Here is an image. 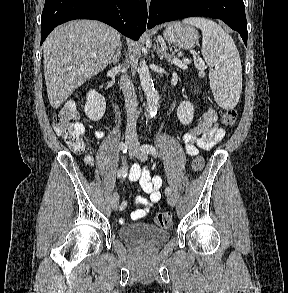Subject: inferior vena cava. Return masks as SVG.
Segmentation results:
<instances>
[{"label":"inferior vena cava","instance_id":"inferior-vena-cava-1","mask_svg":"<svg viewBox=\"0 0 288 293\" xmlns=\"http://www.w3.org/2000/svg\"><path fill=\"white\" fill-rule=\"evenodd\" d=\"M120 88L123 91L125 103H126V110H127V125H126V136L133 141L137 139L135 137V130H136V121L138 118V111H137V98L135 94L134 86L131 80L126 76L123 75L120 78Z\"/></svg>","mask_w":288,"mask_h":293}]
</instances>
